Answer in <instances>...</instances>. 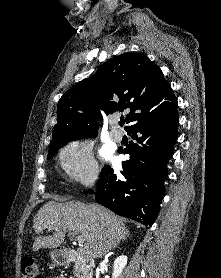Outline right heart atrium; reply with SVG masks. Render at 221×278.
<instances>
[{
  "label": "right heart atrium",
  "instance_id": "obj_1",
  "mask_svg": "<svg viewBox=\"0 0 221 278\" xmlns=\"http://www.w3.org/2000/svg\"><path fill=\"white\" fill-rule=\"evenodd\" d=\"M59 161L65 174L77 183L88 184L99 177V167L89 140L69 141L60 150Z\"/></svg>",
  "mask_w": 221,
  "mask_h": 278
}]
</instances>
